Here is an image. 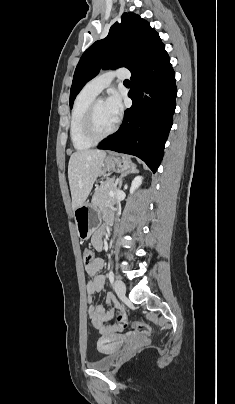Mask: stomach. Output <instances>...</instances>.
<instances>
[{"label":"stomach","instance_id":"stomach-1","mask_svg":"<svg viewBox=\"0 0 235 404\" xmlns=\"http://www.w3.org/2000/svg\"><path fill=\"white\" fill-rule=\"evenodd\" d=\"M133 164L127 156L111 154L106 156L102 165V173L106 171L125 172ZM74 219L77 235L81 240H87L101 223V210L98 206L84 203L74 210Z\"/></svg>","mask_w":235,"mask_h":404}]
</instances>
